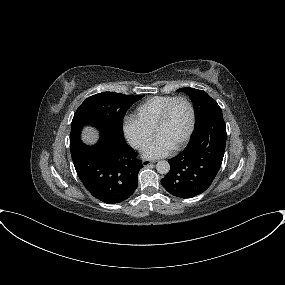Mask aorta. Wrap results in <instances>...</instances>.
Segmentation results:
<instances>
[{"instance_id":"762f6f07","label":"aorta","mask_w":285,"mask_h":285,"mask_svg":"<svg viewBox=\"0 0 285 285\" xmlns=\"http://www.w3.org/2000/svg\"><path fill=\"white\" fill-rule=\"evenodd\" d=\"M156 170L160 174H167L170 170V164L165 160L159 161L156 164Z\"/></svg>"}]
</instances>
